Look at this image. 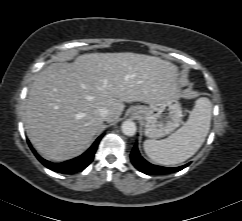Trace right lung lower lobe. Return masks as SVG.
<instances>
[{
	"mask_svg": "<svg viewBox=\"0 0 242 221\" xmlns=\"http://www.w3.org/2000/svg\"><path fill=\"white\" fill-rule=\"evenodd\" d=\"M103 135H101L100 137L97 138V140L93 143V145L81 156L74 158L72 160L69 161H65L63 163H52L49 162L43 158H41L33 148L32 151L33 153L36 155V157L38 158V160L47 168L55 171V172H59V173H63V174H72L75 172H79L82 171L83 169H85L93 160L94 158V154L97 150V146L101 140Z\"/></svg>",
	"mask_w": 242,
	"mask_h": 221,
	"instance_id": "1",
	"label": "right lung lower lobe"
}]
</instances>
